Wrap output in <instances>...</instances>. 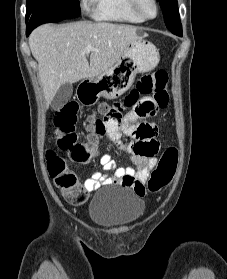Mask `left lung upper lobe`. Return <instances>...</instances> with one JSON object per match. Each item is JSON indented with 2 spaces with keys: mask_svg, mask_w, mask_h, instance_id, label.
Masks as SVG:
<instances>
[{
  "mask_svg": "<svg viewBox=\"0 0 227 279\" xmlns=\"http://www.w3.org/2000/svg\"><path fill=\"white\" fill-rule=\"evenodd\" d=\"M167 28L173 33H182L177 0H158Z\"/></svg>",
  "mask_w": 227,
  "mask_h": 279,
  "instance_id": "1",
  "label": "left lung upper lobe"
}]
</instances>
